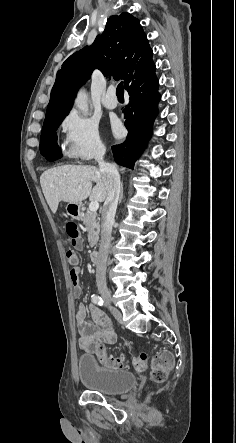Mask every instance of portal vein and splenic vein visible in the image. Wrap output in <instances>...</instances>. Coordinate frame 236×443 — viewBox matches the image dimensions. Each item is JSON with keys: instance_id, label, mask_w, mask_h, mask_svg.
I'll return each instance as SVG.
<instances>
[{"instance_id": "18ae733b", "label": "portal vein and splenic vein", "mask_w": 236, "mask_h": 443, "mask_svg": "<svg viewBox=\"0 0 236 443\" xmlns=\"http://www.w3.org/2000/svg\"><path fill=\"white\" fill-rule=\"evenodd\" d=\"M79 188L81 189L82 187L79 186ZM98 208H99V203H98V201H92V202L90 203V205H89V210H90L91 212H96V211L98 210Z\"/></svg>"}]
</instances>
